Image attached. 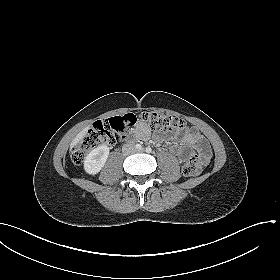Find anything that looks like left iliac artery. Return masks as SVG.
Masks as SVG:
<instances>
[{"mask_svg":"<svg viewBox=\"0 0 280 280\" xmlns=\"http://www.w3.org/2000/svg\"><path fill=\"white\" fill-rule=\"evenodd\" d=\"M151 151H152V149H151L150 147H147V148H146V152H147V153H150Z\"/></svg>","mask_w":280,"mask_h":280,"instance_id":"left-iliac-artery-1","label":"left iliac artery"}]
</instances>
